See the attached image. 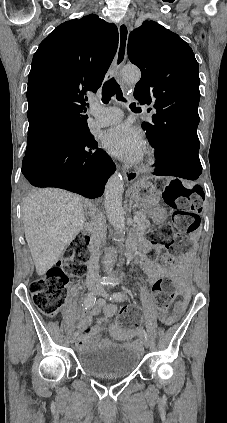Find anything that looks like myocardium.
Wrapping results in <instances>:
<instances>
[{"label": "myocardium", "instance_id": "myocardium-1", "mask_svg": "<svg viewBox=\"0 0 227 423\" xmlns=\"http://www.w3.org/2000/svg\"><path fill=\"white\" fill-rule=\"evenodd\" d=\"M157 160H158V155H157L156 149L153 147H150L147 150V154L141 168L150 169L157 163Z\"/></svg>", "mask_w": 227, "mask_h": 423}]
</instances>
